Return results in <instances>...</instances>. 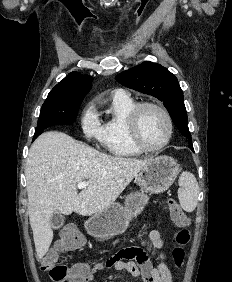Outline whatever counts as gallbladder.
<instances>
[{
    "label": "gallbladder",
    "instance_id": "1",
    "mask_svg": "<svg viewBox=\"0 0 232 282\" xmlns=\"http://www.w3.org/2000/svg\"><path fill=\"white\" fill-rule=\"evenodd\" d=\"M64 220H65V218L61 213H59V212L53 213L51 218H50L51 227L53 229L60 228L64 224Z\"/></svg>",
    "mask_w": 232,
    "mask_h": 282
}]
</instances>
